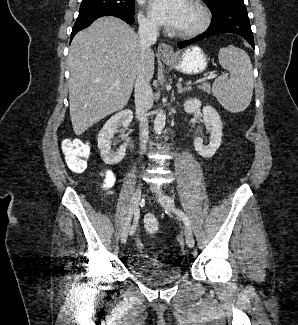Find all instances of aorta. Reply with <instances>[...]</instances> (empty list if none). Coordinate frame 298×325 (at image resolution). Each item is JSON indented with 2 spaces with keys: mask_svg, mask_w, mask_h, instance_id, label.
I'll return each instance as SVG.
<instances>
[{
  "mask_svg": "<svg viewBox=\"0 0 298 325\" xmlns=\"http://www.w3.org/2000/svg\"><path fill=\"white\" fill-rule=\"evenodd\" d=\"M166 114L164 108H159L155 120H154V130L156 132H161L165 126Z\"/></svg>",
  "mask_w": 298,
  "mask_h": 325,
  "instance_id": "762f6f07",
  "label": "aorta"
}]
</instances>
